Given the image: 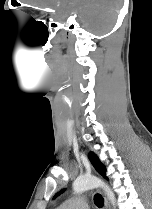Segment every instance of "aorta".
Instances as JSON below:
<instances>
[{
	"instance_id": "obj_1",
	"label": "aorta",
	"mask_w": 152,
	"mask_h": 209,
	"mask_svg": "<svg viewBox=\"0 0 152 209\" xmlns=\"http://www.w3.org/2000/svg\"><path fill=\"white\" fill-rule=\"evenodd\" d=\"M73 190L75 193H81L86 190L95 189L101 187L105 190L107 197L111 204L115 207L116 198L110 187L104 183L102 180L95 176H82L78 177L73 182Z\"/></svg>"
}]
</instances>
